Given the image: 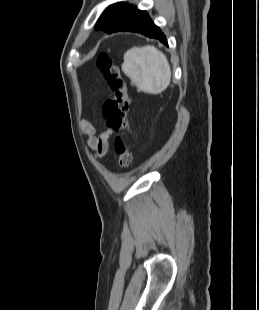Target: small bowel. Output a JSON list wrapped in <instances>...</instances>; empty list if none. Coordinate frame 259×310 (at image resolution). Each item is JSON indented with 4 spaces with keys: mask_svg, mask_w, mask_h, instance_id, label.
<instances>
[{
    "mask_svg": "<svg viewBox=\"0 0 259 310\" xmlns=\"http://www.w3.org/2000/svg\"><path fill=\"white\" fill-rule=\"evenodd\" d=\"M80 128L87 136L86 143L88 147L95 153V155L99 158L105 156L108 151V141L112 131L105 129L99 135H96L93 125L86 120L80 121Z\"/></svg>",
    "mask_w": 259,
    "mask_h": 310,
    "instance_id": "obj_1",
    "label": "small bowel"
}]
</instances>
